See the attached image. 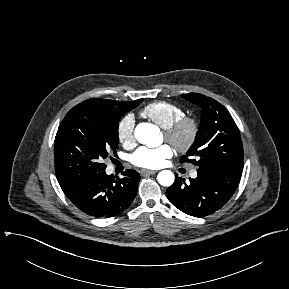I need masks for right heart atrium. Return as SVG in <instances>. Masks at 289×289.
I'll return each mask as SVG.
<instances>
[{
    "label": "right heart atrium",
    "mask_w": 289,
    "mask_h": 289,
    "mask_svg": "<svg viewBox=\"0 0 289 289\" xmlns=\"http://www.w3.org/2000/svg\"><path fill=\"white\" fill-rule=\"evenodd\" d=\"M135 121L132 114L125 115L118 123V140L124 146H131L135 142L134 135Z\"/></svg>",
    "instance_id": "1"
}]
</instances>
